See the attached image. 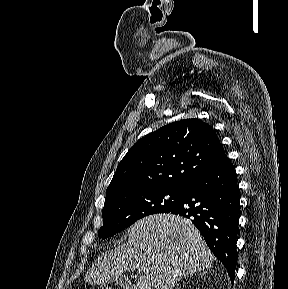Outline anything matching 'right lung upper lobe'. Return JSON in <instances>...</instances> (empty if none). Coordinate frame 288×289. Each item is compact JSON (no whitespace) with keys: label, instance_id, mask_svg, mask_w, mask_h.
<instances>
[{"label":"right lung upper lobe","instance_id":"cb5924a9","mask_svg":"<svg viewBox=\"0 0 288 289\" xmlns=\"http://www.w3.org/2000/svg\"><path fill=\"white\" fill-rule=\"evenodd\" d=\"M225 155L215 131L200 119L168 124L137 141L119 163L106 197L153 188H184Z\"/></svg>","mask_w":288,"mask_h":289}]
</instances>
